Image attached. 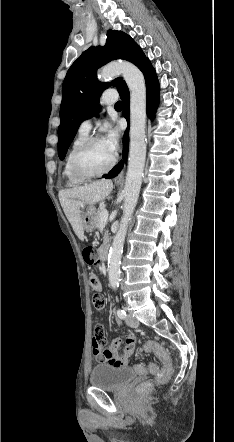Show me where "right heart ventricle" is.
I'll return each instance as SVG.
<instances>
[{"mask_svg":"<svg viewBox=\"0 0 234 442\" xmlns=\"http://www.w3.org/2000/svg\"><path fill=\"white\" fill-rule=\"evenodd\" d=\"M88 137L87 133H83V132H78L77 135L75 136L74 140L72 141L70 148L67 152L66 158H65V163H64V168H63V175L68 183V185L70 186H78L82 183H84L86 180L79 178L78 176L75 175V173L73 172L72 168H71V157L72 154L74 153L75 149Z\"/></svg>","mask_w":234,"mask_h":442,"instance_id":"1","label":"right heart ventricle"}]
</instances>
